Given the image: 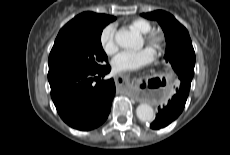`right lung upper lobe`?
Instances as JSON below:
<instances>
[{"label": "right lung upper lobe", "mask_w": 230, "mask_h": 155, "mask_svg": "<svg viewBox=\"0 0 230 155\" xmlns=\"http://www.w3.org/2000/svg\"><path fill=\"white\" fill-rule=\"evenodd\" d=\"M116 18L105 14L93 12H83L69 21L59 32L58 35L66 34H87L95 30L104 22H112Z\"/></svg>", "instance_id": "1"}]
</instances>
